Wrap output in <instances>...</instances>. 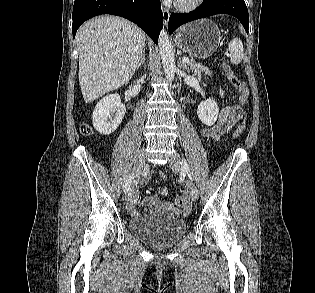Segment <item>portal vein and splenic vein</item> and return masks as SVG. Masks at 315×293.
<instances>
[{
	"label": "portal vein and splenic vein",
	"instance_id": "18ae733b",
	"mask_svg": "<svg viewBox=\"0 0 315 293\" xmlns=\"http://www.w3.org/2000/svg\"><path fill=\"white\" fill-rule=\"evenodd\" d=\"M182 61H183L184 63H189V62H190L189 58H187V57H184V58L182 59Z\"/></svg>",
	"mask_w": 315,
	"mask_h": 293
}]
</instances>
